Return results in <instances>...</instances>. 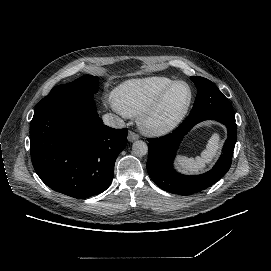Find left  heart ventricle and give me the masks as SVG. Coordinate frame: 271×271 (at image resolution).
Wrapping results in <instances>:
<instances>
[{"mask_svg": "<svg viewBox=\"0 0 271 271\" xmlns=\"http://www.w3.org/2000/svg\"><path fill=\"white\" fill-rule=\"evenodd\" d=\"M189 98V86L184 83L178 84L172 90L163 109L158 113L156 120L161 123L171 120L183 110Z\"/></svg>", "mask_w": 271, "mask_h": 271, "instance_id": "b2bd125f", "label": "left heart ventricle"}]
</instances>
